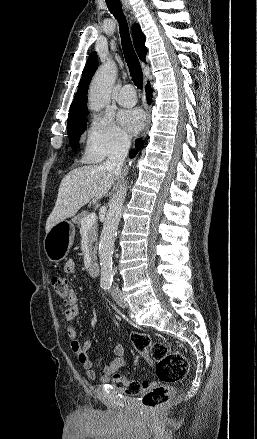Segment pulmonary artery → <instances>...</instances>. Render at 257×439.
I'll use <instances>...</instances> for the list:
<instances>
[{
	"mask_svg": "<svg viewBox=\"0 0 257 439\" xmlns=\"http://www.w3.org/2000/svg\"><path fill=\"white\" fill-rule=\"evenodd\" d=\"M137 101L133 86L124 85L117 96V102L122 106H133Z\"/></svg>",
	"mask_w": 257,
	"mask_h": 439,
	"instance_id": "1",
	"label": "pulmonary artery"
}]
</instances>
